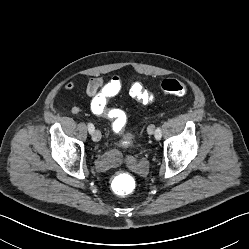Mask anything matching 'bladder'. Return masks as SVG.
<instances>
[{
	"instance_id": "31cf9c89",
	"label": "bladder",
	"mask_w": 249,
	"mask_h": 249,
	"mask_svg": "<svg viewBox=\"0 0 249 249\" xmlns=\"http://www.w3.org/2000/svg\"><path fill=\"white\" fill-rule=\"evenodd\" d=\"M115 146L121 151V150H126V151H130L133 146L134 143L132 140H127L124 143H115ZM96 167L100 170V171H106L111 167V161H98L96 163Z\"/></svg>"
}]
</instances>
